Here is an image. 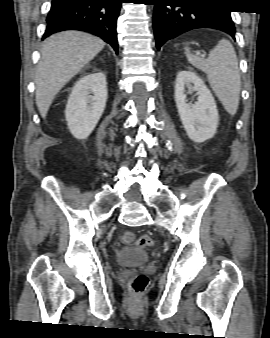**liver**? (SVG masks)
Wrapping results in <instances>:
<instances>
[{
	"label": "liver",
	"instance_id": "liver-1",
	"mask_svg": "<svg viewBox=\"0 0 270 338\" xmlns=\"http://www.w3.org/2000/svg\"><path fill=\"white\" fill-rule=\"evenodd\" d=\"M105 46V42L80 31H65L44 41L36 69V105L44 118L57 93Z\"/></svg>",
	"mask_w": 270,
	"mask_h": 338
}]
</instances>
